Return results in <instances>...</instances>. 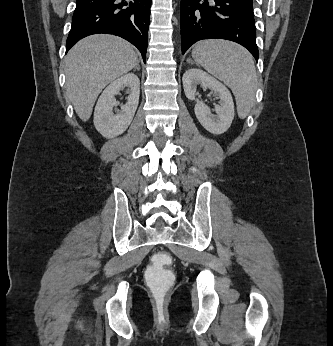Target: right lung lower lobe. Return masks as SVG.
<instances>
[{"instance_id": "obj_1", "label": "right lung lower lobe", "mask_w": 333, "mask_h": 346, "mask_svg": "<svg viewBox=\"0 0 333 346\" xmlns=\"http://www.w3.org/2000/svg\"><path fill=\"white\" fill-rule=\"evenodd\" d=\"M151 0H77L66 52L80 39L114 34L135 45L146 60Z\"/></svg>"}]
</instances>
